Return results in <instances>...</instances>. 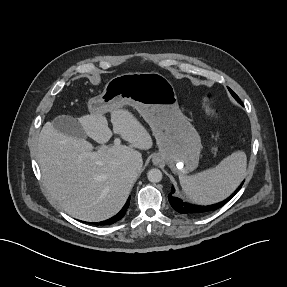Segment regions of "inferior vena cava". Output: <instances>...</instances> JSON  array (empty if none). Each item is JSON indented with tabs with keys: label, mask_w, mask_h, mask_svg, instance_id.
<instances>
[{
	"label": "inferior vena cava",
	"mask_w": 287,
	"mask_h": 287,
	"mask_svg": "<svg viewBox=\"0 0 287 287\" xmlns=\"http://www.w3.org/2000/svg\"><path fill=\"white\" fill-rule=\"evenodd\" d=\"M130 165L135 171H140L143 165L142 158H135Z\"/></svg>",
	"instance_id": "602c4592"
}]
</instances>
